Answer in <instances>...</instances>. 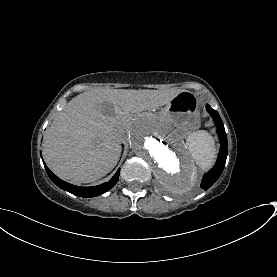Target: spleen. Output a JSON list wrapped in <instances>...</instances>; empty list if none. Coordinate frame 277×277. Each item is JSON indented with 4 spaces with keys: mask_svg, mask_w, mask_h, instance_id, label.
I'll return each instance as SVG.
<instances>
[{
    "mask_svg": "<svg viewBox=\"0 0 277 277\" xmlns=\"http://www.w3.org/2000/svg\"><path fill=\"white\" fill-rule=\"evenodd\" d=\"M186 145L195 160L196 164L202 169L211 168L216 154L215 142L212 136L206 131H196L187 138Z\"/></svg>",
    "mask_w": 277,
    "mask_h": 277,
    "instance_id": "3e777b00",
    "label": "spleen"
}]
</instances>
